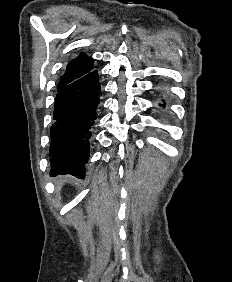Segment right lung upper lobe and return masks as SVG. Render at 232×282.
Returning a JSON list of instances; mask_svg holds the SVG:
<instances>
[{"label": "right lung upper lobe", "mask_w": 232, "mask_h": 282, "mask_svg": "<svg viewBox=\"0 0 232 282\" xmlns=\"http://www.w3.org/2000/svg\"><path fill=\"white\" fill-rule=\"evenodd\" d=\"M93 70V59L81 53L76 59L71 60L65 73L61 76L58 87L68 84Z\"/></svg>", "instance_id": "cb5924a9"}]
</instances>
